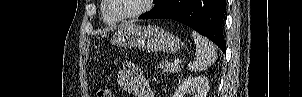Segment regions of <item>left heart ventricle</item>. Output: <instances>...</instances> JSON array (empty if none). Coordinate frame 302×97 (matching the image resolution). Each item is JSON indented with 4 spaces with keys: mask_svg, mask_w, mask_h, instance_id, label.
<instances>
[{
    "mask_svg": "<svg viewBox=\"0 0 302 97\" xmlns=\"http://www.w3.org/2000/svg\"><path fill=\"white\" fill-rule=\"evenodd\" d=\"M111 5L118 15H127L141 8L143 0H111Z\"/></svg>",
    "mask_w": 302,
    "mask_h": 97,
    "instance_id": "obj_1",
    "label": "left heart ventricle"
}]
</instances>
